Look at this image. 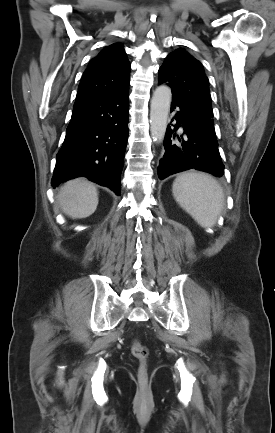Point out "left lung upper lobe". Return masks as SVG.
Instances as JSON below:
<instances>
[{"instance_id":"1","label":"left lung upper lobe","mask_w":275,"mask_h":433,"mask_svg":"<svg viewBox=\"0 0 275 433\" xmlns=\"http://www.w3.org/2000/svg\"><path fill=\"white\" fill-rule=\"evenodd\" d=\"M158 83H169L172 93L184 100L197 121L215 131L208 78L198 60L183 49L173 51L159 69Z\"/></svg>"}]
</instances>
